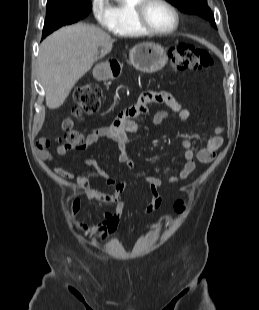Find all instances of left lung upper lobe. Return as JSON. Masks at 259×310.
I'll return each mask as SVG.
<instances>
[{
	"label": "left lung upper lobe",
	"instance_id": "obj_1",
	"mask_svg": "<svg viewBox=\"0 0 259 310\" xmlns=\"http://www.w3.org/2000/svg\"><path fill=\"white\" fill-rule=\"evenodd\" d=\"M174 6H176L180 11L199 15L204 19L210 21L211 25L216 28L214 15L211 12V9L207 5V0H167Z\"/></svg>",
	"mask_w": 259,
	"mask_h": 310
}]
</instances>
